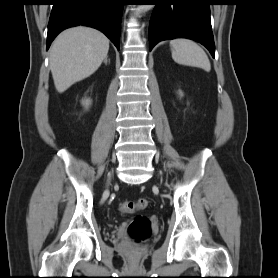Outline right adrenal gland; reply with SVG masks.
<instances>
[{
  "label": "right adrenal gland",
  "mask_w": 278,
  "mask_h": 278,
  "mask_svg": "<svg viewBox=\"0 0 278 278\" xmlns=\"http://www.w3.org/2000/svg\"><path fill=\"white\" fill-rule=\"evenodd\" d=\"M104 63H105V65H107V63H108V58L107 57L104 59Z\"/></svg>",
  "instance_id": "1"
}]
</instances>
